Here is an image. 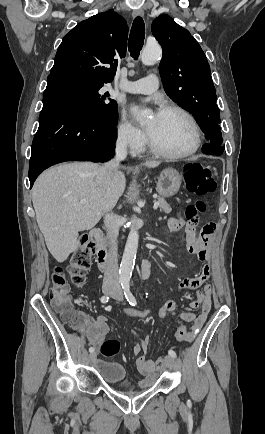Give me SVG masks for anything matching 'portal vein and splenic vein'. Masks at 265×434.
I'll use <instances>...</instances> for the list:
<instances>
[{"mask_svg":"<svg viewBox=\"0 0 265 434\" xmlns=\"http://www.w3.org/2000/svg\"><path fill=\"white\" fill-rule=\"evenodd\" d=\"M80 204H86V200H80ZM158 206H159V202H155L153 206L154 210H157Z\"/></svg>","mask_w":265,"mask_h":434,"instance_id":"1","label":"portal vein and splenic vein"}]
</instances>
